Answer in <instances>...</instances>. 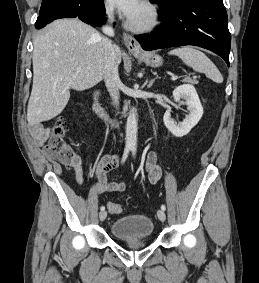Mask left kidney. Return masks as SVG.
<instances>
[{
  "instance_id": "left-kidney-1",
  "label": "left kidney",
  "mask_w": 259,
  "mask_h": 283,
  "mask_svg": "<svg viewBox=\"0 0 259 283\" xmlns=\"http://www.w3.org/2000/svg\"><path fill=\"white\" fill-rule=\"evenodd\" d=\"M173 97L176 102H180L184 99L185 102H180L188 107L189 115L183 120V122L177 124L172 118L170 111H166L163 117L166 128L176 137H183L187 135L191 129L196 126L203 115V107L201 105L198 94L194 86L189 84H183L178 86L173 91Z\"/></svg>"
}]
</instances>
